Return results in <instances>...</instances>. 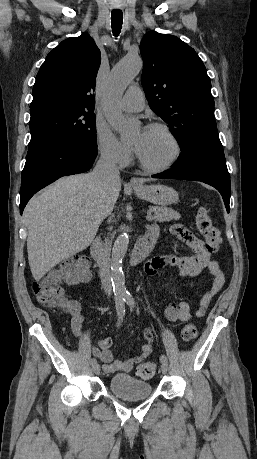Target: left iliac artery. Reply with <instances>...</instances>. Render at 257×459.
Wrapping results in <instances>:
<instances>
[{
  "mask_svg": "<svg viewBox=\"0 0 257 459\" xmlns=\"http://www.w3.org/2000/svg\"><path fill=\"white\" fill-rule=\"evenodd\" d=\"M124 300L130 307H134L135 300H134L133 296L130 293H127V294L124 295ZM160 362L161 363H163V362L167 363L168 362L167 357L164 354H162L160 356Z\"/></svg>",
  "mask_w": 257,
  "mask_h": 459,
  "instance_id": "obj_1",
  "label": "left iliac artery"
}]
</instances>
